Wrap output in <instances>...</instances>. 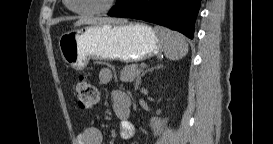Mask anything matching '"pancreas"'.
<instances>
[{
  "label": "pancreas",
  "instance_id": "pancreas-1",
  "mask_svg": "<svg viewBox=\"0 0 273 144\" xmlns=\"http://www.w3.org/2000/svg\"><path fill=\"white\" fill-rule=\"evenodd\" d=\"M141 73V68L138 64L126 65L120 72V80L122 82H132L138 78Z\"/></svg>",
  "mask_w": 273,
  "mask_h": 144
}]
</instances>
